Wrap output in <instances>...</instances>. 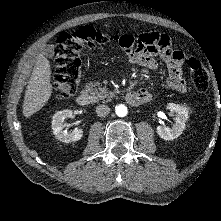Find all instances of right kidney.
<instances>
[{"label":"right kidney","instance_id":"right-kidney-1","mask_svg":"<svg viewBox=\"0 0 221 221\" xmlns=\"http://www.w3.org/2000/svg\"><path fill=\"white\" fill-rule=\"evenodd\" d=\"M72 114H73L72 110L66 109V110L58 111L53 116V120H52L53 134L58 140L64 143L75 142V141L80 140L83 137L82 129H74L73 131H70V132L63 130L64 119L71 118Z\"/></svg>","mask_w":221,"mask_h":221}]
</instances>
